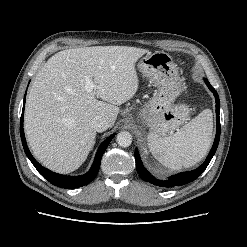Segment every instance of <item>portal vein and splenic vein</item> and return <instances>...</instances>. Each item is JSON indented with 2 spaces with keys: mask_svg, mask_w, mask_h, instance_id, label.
Wrapping results in <instances>:
<instances>
[{
  "mask_svg": "<svg viewBox=\"0 0 247 247\" xmlns=\"http://www.w3.org/2000/svg\"><path fill=\"white\" fill-rule=\"evenodd\" d=\"M96 86L90 78L86 79L85 89L87 92H91Z\"/></svg>",
  "mask_w": 247,
  "mask_h": 247,
  "instance_id": "1",
  "label": "portal vein and splenic vein"
}]
</instances>
